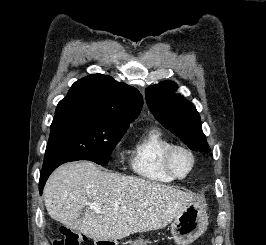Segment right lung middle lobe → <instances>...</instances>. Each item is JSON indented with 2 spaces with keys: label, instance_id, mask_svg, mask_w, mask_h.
Returning <instances> with one entry per match:
<instances>
[{
  "label": "right lung middle lobe",
  "instance_id": "obj_1",
  "mask_svg": "<svg viewBox=\"0 0 266 245\" xmlns=\"http://www.w3.org/2000/svg\"><path fill=\"white\" fill-rule=\"evenodd\" d=\"M128 127L129 122L92 112H71L55 116L43 166L57 161L77 160L105 165L112 149Z\"/></svg>",
  "mask_w": 266,
  "mask_h": 245
}]
</instances>
